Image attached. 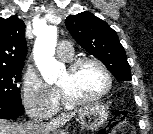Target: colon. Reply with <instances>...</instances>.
Listing matches in <instances>:
<instances>
[{
    "mask_svg": "<svg viewBox=\"0 0 153 134\" xmlns=\"http://www.w3.org/2000/svg\"><path fill=\"white\" fill-rule=\"evenodd\" d=\"M98 134H133V129L127 119V111L116 110L110 122Z\"/></svg>",
    "mask_w": 153,
    "mask_h": 134,
    "instance_id": "5ec220e1",
    "label": "colon"
}]
</instances>
